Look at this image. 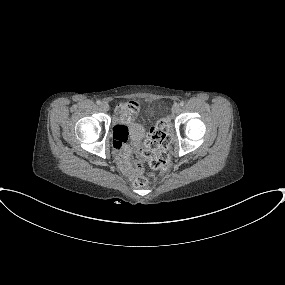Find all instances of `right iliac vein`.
<instances>
[{
    "label": "right iliac vein",
    "mask_w": 285,
    "mask_h": 285,
    "mask_svg": "<svg viewBox=\"0 0 285 285\" xmlns=\"http://www.w3.org/2000/svg\"><path fill=\"white\" fill-rule=\"evenodd\" d=\"M101 109H102L103 111H108V110H109V105H108V103L103 102V103L101 104Z\"/></svg>",
    "instance_id": "obj_1"
}]
</instances>
